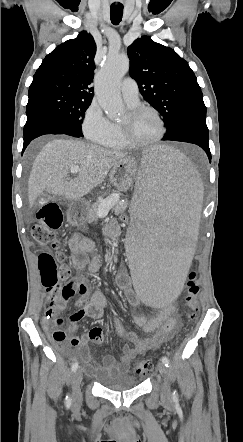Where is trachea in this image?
I'll return each mask as SVG.
<instances>
[{
	"label": "trachea",
	"instance_id": "1",
	"mask_svg": "<svg viewBox=\"0 0 243 442\" xmlns=\"http://www.w3.org/2000/svg\"><path fill=\"white\" fill-rule=\"evenodd\" d=\"M123 6H111L110 17L114 25H118L122 19Z\"/></svg>",
	"mask_w": 243,
	"mask_h": 442
}]
</instances>
